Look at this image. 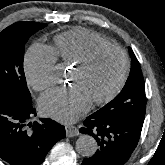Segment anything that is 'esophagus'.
I'll return each instance as SVG.
<instances>
[{"instance_id":"obj_1","label":"esophagus","mask_w":165,"mask_h":165,"mask_svg":"<svg viewBox=\"0 0 165 165\" xmlns=\"http://www.w3.org/2000/svg\"><path fill=\"white\" fill-rule=\"evenodd\" d=\"M66 136L67 137H74L79 135V130L76 126L73 125H66Z\"/></svg>"}]
</instances>
